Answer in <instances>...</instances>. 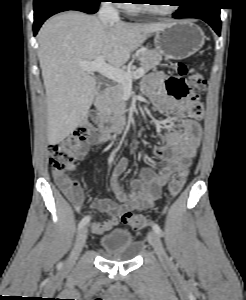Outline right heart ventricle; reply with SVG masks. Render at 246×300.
Masks as SVG:
<instances>
[{
  "label": "right heart ventricle",
  "instance_id": "e07e8e85",
  "mask_svg": "<svg viewBox=\"0 0 246 300\" xmlns=\"http://www.w3.org/2000/svg\"><path fill=\"white\" fill-rule=\"evenodd\" d=\"M126 8H127L128 11H132V12L135 11V7L134 6H127Z\"/></svg>",
  "mask_w": 246,
  "mask_h": 300
}]
</instances>
